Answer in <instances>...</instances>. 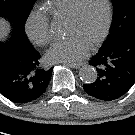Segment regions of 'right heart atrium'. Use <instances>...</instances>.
<instances>
[{
  "instance_id": "right-heart-atrium-1",
  "label": "right heart atrium",
  "mask_w": 135,
  "mask_h": 135,
  "mask_svg": "<svg viewBox=\"0 0 135 135\" xmlns=\"http://www.w3.org/2000/svg\"><path fill=\"white\" fill-rule=\"evenodd\" d=\"M25 33L34 44L45 45L50 42L49 17L45 12L32 11L25 21Z\"/></svg>"
}]
</instances>
